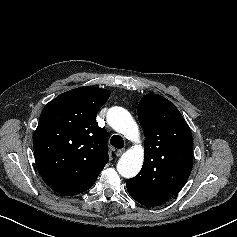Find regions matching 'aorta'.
Instances as JSON below:
<instances>
[{
  "instance_id": "aorta-1",
  "label": "aorta",
  "mask_w": 237,
  "mask_h": 237,
  "mask_svg": "<svg viewBox=\"0 0 237 237\" xmlns=\"http://www.w3.org/2000/svg\"><path fill=\"white\" fill-rule=\"evenodd\" d=\"M107 122L118 133L123 134L133 142H139L140 134L136 122L130 113L122 107H112L107 112ZM144 150L141 145H135L125 152L117 163V170L124 178H132L141 170Z\"/></svg>"
}]
</instances>
